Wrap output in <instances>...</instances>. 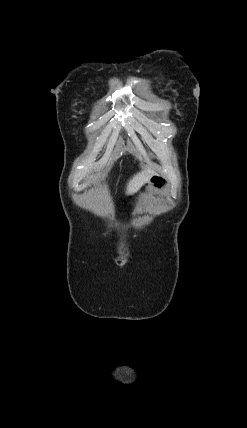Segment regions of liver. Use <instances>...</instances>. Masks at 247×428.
Listing matches in <instances>:
<instances>
[{
	"label": "liver",
	"instance_id": "liver-1",
	"mask_svg": "<svg viewBox=\"0 0 247 428\" xmlns=\"http://www.w3.org/2000/svg\"><path fill=\"white\" fill-rule=\"evenodd\" d=\"M154 174V171L150 168H147L145 171L138 173L135 175L128 183L127 185V194L134 192L138 187L142 185L143 182H145L150 175Z\"/></svg>",
	"mask_w": 247,
	"mask_h": 428
}]
</instances>
